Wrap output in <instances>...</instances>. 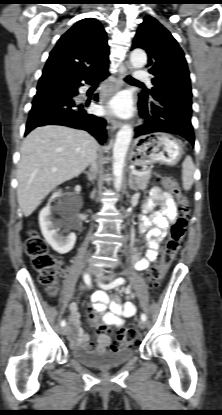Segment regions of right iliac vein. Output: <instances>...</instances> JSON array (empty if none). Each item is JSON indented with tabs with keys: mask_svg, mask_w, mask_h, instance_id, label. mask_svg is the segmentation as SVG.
Returning <instances> with one entry per match:
<instances>
[{
	"mask_svg": "<svg viewBox=\"0 0 222 415\" xmlns=\"http://www.w3.org/2000/svg\"><path fill=\"white\" fill-rule=\"evenodd\" d=\"M94 272H95V268L92 267V266H90L86 269V273H88V274H93ZM68 330H69V327L65 326V327L61 328L60 332H61L62 335H66L68 333Z\"/></svg>",
	"mask_w": 222,
	"mask_h": 415,
	"instance_id": "63e3f726",
	"label": "right iliac vein"
}]
</instances>
